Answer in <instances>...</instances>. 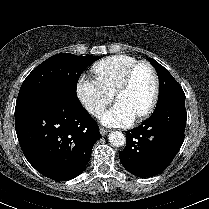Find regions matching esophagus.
Listing matches in <instances>:
<instances>
[{
  "label": "esophagus",
  "instance_id": "esophagus-1",
  "mask_svg": "<svg viewBox=\"0 0 209 209\" xmlns=\"http://www.w3.org/2000/svg\"><path fill=\"white\" fill-rule=\"evenodd\" d=\"M108 132H109L108 129L100 128V134H101L102 136L106 135Z\"/></svg>",
  "mask_w": 209,
  "mask_h": 209
}]
</instances>
